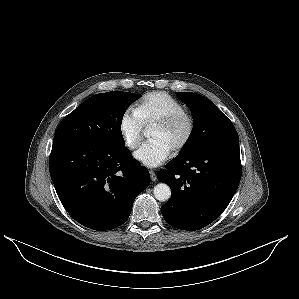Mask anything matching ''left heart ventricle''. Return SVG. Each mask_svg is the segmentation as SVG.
Listing matches in <instances>:
<instances>
[{
  "instance_id": "obj_1",
  "label": "left heart ventricle",
  "mask_w": 299,
  "mask_h": 299,
  "mask_svg": "<svg viewBox=\"0 0 299 299\" xmlns=\"http://www.w3.org/2000/svg\"><path fill=\"white\" fill-rule=\"evenodd\" d=\"M185 131V124H180L179 126L170 130L153 127L151 130L150 138L152 140L163 141L172 150L181 141L185 134Z\"/></svg>"
}]
</instances>
